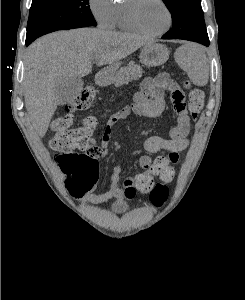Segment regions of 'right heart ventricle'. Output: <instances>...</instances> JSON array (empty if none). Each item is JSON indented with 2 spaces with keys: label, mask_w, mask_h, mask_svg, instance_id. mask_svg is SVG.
<instances>
[{
  "label": "right heart ventricle",
  "mask_w": 245,
  "mask_h": 300,
  "mask_svg": "<svg viewBox=\"0 0 245 300\" xmlns=\"http://www.w3.org/2000/svg\"><path fill=\"white\" fill-rule=\"evenodd\" d=\"M125 5H126V2L118 3L115 5L113 27H116L117 29L124 31V32L136 33L137 31L129 25V23L126 19Z\"/></svg>",
  "instance_id": "obj_1"
}]
</instances>
